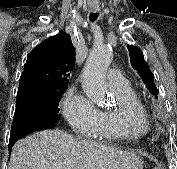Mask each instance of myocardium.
Listing matches in <instances>:
<instances>
[{"instance_id": "f54148a6", "label": "myocardium", "mask_w": 177, "mask_h": 169, "mask_svg": "<svg viewBox=\"0 0 177 169\" xmlns=\"http://www.w3.org/2000/svg\"><path fill=\"white\" fill-rule=\"evenodd\" d=\"M145 119H146V121H147V117H146V114H145ZM148 123V122H147Z\"/></svg>"}]
</instances>
